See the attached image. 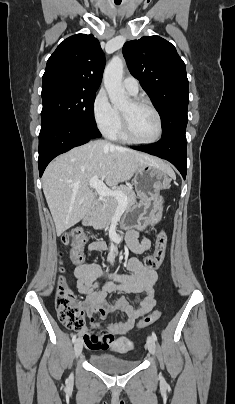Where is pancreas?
Here are the masks:
<instances>
[{
  "label": "pancreas",
  "mask_w": 235,
  "mask_h": 404,
  "mask_svg": "<svg viewBox=\"0 0 235 404\" xmlns=\"http://www.w3.org/2000/svg\"><path fill=\"white\" fill-rule=\"evenodd\" d=\"M126 197V208L136 203V195L129 186L122 185L118 189ZM119 207V201L115 197H108L103 200L92 216V225L95 229L105 228L110 225L113 216Z\"/></svg>",
  "instance_id": "obj_1"
}]
</instances>
